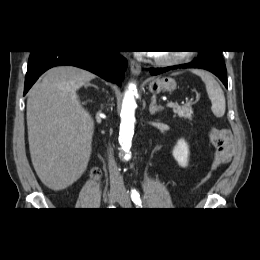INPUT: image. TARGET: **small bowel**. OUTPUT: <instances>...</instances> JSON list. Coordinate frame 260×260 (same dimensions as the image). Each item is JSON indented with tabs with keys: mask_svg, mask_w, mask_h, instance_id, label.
Returning a JSON list of instances; mask_svg holds the SVG:
<instances>
[{
	"mask_svg": "<svg viewBox=\"0 0 260 260\" xmlns=\"http://www.w3.org/2000/svg\"><path fill=\"white\" fill-rule=\"evenodd\" d=\"M209 140L215 147L213 153V163L212 167L216 168L217 166L227 163L234 153V141L232 134L227 129H214L209 131ZM206 177L201 181L204 182Z\"/></svg>",
	"mask_w": 260,
	"mask_h": 260,
	"instance_id": "1",
	"label": "small bowel"
}]
</instances>
